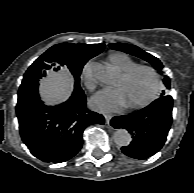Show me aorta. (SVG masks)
Returning a JSON list of instances; mask_svg holds the SVG:
<instances>
[{"label":"aorta","mask_w":194,"mask_h":193,"mask_svg":"<svg viewBox=\"0 0 194 193\" xmlns=\"http://www.w3.org/2000/svg\"><path fill=\"white\" fill-rule=\"evenodd\" d=\"M92 74L100 82L111 84L114 80V72L100 63L92 65ZM115 144L118 146H128L131 142V135L126 129H118L113 135Z\"/></svg>","instance_id":"obj_1"}]
</instances>
